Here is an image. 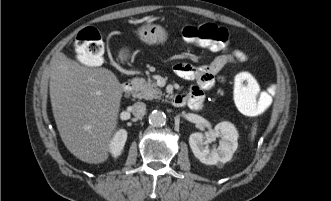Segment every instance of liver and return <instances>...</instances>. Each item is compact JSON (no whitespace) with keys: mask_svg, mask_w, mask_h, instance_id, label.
Wrapping results in <instances>:
<instances>
[{"mask_svg":"<svg viewBox=\"0 0 331 201\" xmlns=\"http://www.w3.org/2000/svg\"><path fill=\"white\" fill-rule=\"evenodd\" d=\"M50 98L66 148L87 163H103L117 128L122 87L104 67H86L56 53L50 61Z\"/></svg>","mask_w":331,"mask_h":201,"instance_id":"6515ba94","label":"liver"}]
</instances>
